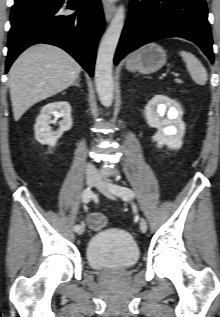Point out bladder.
Wrapping results in <instances>:
<instances>
[{"instance_id": "obj_1", "label": "bladder", "mask_w": 220, "mask_h": 317, "mask_svg": "<svg viewBox=\"0 0 220 317\" xmlns=\"http://www.w3.org/2000/svg\"><path fill=\"white\" fill-rule=\"evenodd\" d=\"M140 258L134 238L122 229L95 233L86 246V261L99 271H122L134 266Z\"/></svg>"}]
</instances>
